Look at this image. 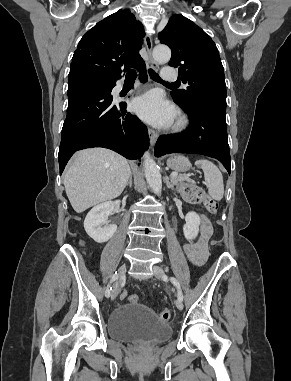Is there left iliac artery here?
Here are the masks:
<instances>
[{"label":"left iliac artery","mask_w":291,"mask_h":381,"mask_svg":"<svg viewBox=\"0 0 291 381\" xmlns=\"http://www.w3.org/2000/svg\"><path fill=\"white\" fill-rule=\"evenodd\" d=\"M169 279H170L171 283L177 288L178 298L183 300V294H182V291H181V288H180L179 281L175 277H170Z\"/></svg>","instance_id":"obj_1"}]
</instances>
